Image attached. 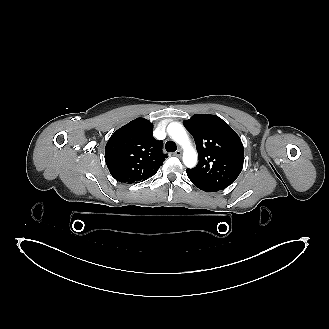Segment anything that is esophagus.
Wrapping results in <instances>:
<instances>
[{
  "label": "esophagus",
  "mask_w": 329,
  "mask_h": 329,
  "mask_svg": "<svg viewBox=\"0 0 329 329\" xmlns=\"http://www.w3.org/2000/svg\"><path fill=\"white\" fill-rule=\"evenodd\" d=\"M174 155L180 157L182 155V151L177 150V151L174 152Z\"/></svg>",
  "instance_id": "esophagus-1"
}]
</instances>
